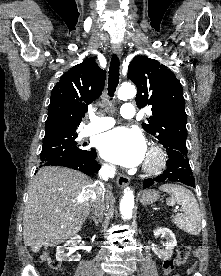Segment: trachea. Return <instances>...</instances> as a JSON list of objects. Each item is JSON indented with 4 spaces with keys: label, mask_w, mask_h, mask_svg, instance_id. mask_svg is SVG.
Listing matches in <instances>:
<instances>
[{
    "label": "trachea",
    "mask_w": 221,
    "mask_h": 276,
    "mask_svg": "<svg viewBox=\"0 0 221 276\" xmlns=\"http://www.w3.org/2000/svg\"><path fill=\"white\" fill-rule=\"evenodd\" d=\"M119 58L114 54L111 58L108 78V95L112 98L119 83Z\"/></svg>",
    "instance_id": "3493384b"
}]
</instances>
